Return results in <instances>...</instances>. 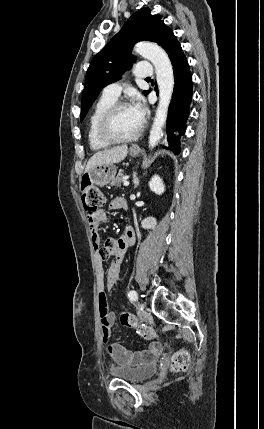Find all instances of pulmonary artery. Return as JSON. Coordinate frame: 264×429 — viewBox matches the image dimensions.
I'll list each match as a JSON object with an SVG mask.
<instances>
[{
  "instance_id": "1",
  "label": "pulmonary artery",
  "mask_w": 264,
  "mask_h": 429,
  "mask_svg": "<svg viewBox=\"0 0 264 429\" xmlns=\"http://www.w3.org/2000/svg\"><path fill=\"white\" fill-rule=\"evenodd\" d=\"M154 74V70L153 67L150 63L148 62H140L136 65L135 68V75L139 78H150L151 76H153ZM122 91V84L121 82H113L108 84L104 89H103V95L117 100L121 94Z\"/></svg>"
}]
</instances>
